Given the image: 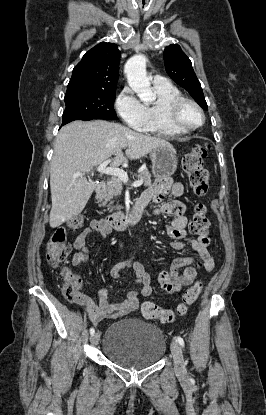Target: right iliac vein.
<instances>
[{"label": "right iliac vein", "instance_id": "1", "mask_svg": "<svg viewBox=\"0 0 266 415\" xmlns=\"http://www.w3.org/2000/svg\"><path fill=\"white\" fill-rule=\"evenodd\" d=\"M100 340V333L99 332H95L92 336H91V343L93 345H97L98 342Z\"/></svg>", "mask_w": 266, "mask_h": 415}]
</instances>
